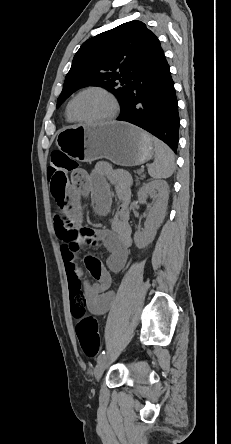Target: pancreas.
Instances as JSON below:
<instances>
[{
	"label": "pancreas",
	"mask_w": 231,
	"mask_h": 444,
	"mask_svg": "<svg viewBox=\"0 0 231 444\" xmlns=\"http://www.w3.org/2000/svg\"><path fill=\"white\" fill-rule=\"evenodd\" d=\"M135 173L138 175L136 176V182H139L141 179L145 178V175L142 174L143 172L141 170H137Z\"/></svg>",
	"instance_id": "obj_1"
}]
</instances>
